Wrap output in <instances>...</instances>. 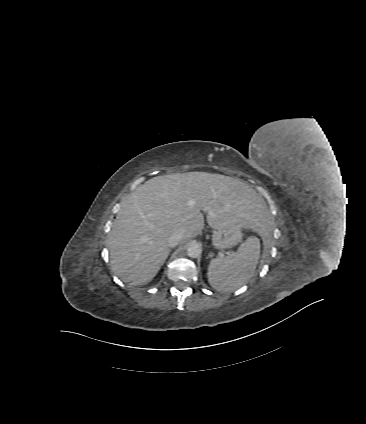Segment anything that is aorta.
Returning <instances> with one entry per match:
<instances>
[{
	"instance_id": "1",
	"label": "aorta",
	"mask_w": 366,
	"mask_h": 424,
	"mask_svg": "<svg viewBox=\"0 0 366 424\" xmlns=\"http://www.w3.org/2000/svg\"><path fill=\"white\" fill-rule=\"evenodd\" d=\"M187 254L191 258H198L201 254V248L197 244H190L187 247Z\"/></svg>"
}]
</instances>
